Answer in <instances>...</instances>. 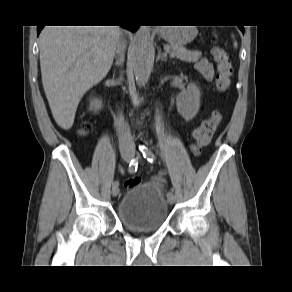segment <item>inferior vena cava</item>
Instances as JSON below:
<instances>
[{"label": "inferior vena cava", "mask_w": 292, "mask_h": 292, "mask_svg": "<svg viewBox=\"0 0 292 292\" xmlns=\"http://www.w3.org/2000/svg\"><path fill=\"white\" fill-rule=\"evenodd\" d=\"M125 48H126L125 41L119 38L116 45V54L118 55L117 63L120 64L123 63ZM134 148L135 145L133 142L131 132L129 128L124 126L120 137V149L121 151H133Z\"/></svg>", "instance_id": "1"}]
</instances>
